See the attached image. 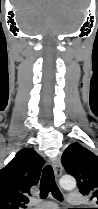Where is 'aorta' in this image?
<instances>
[{
    "label": "aorta",
    "instance_id": "aorta-1",
    "mask_svg": "<svg viewBox=\"0 0 98 209\" xmlns=\"http://www.w3.org/2000/svg\"><path fill=\"white\" fill-rule=\"evenodd\" d=\"M59 184L65 190H72L76 187V180L72 176H63L60 178Z\"/></svg>",
    "mask_w": 98,
    "mask_h": 209
}]
</instances>
